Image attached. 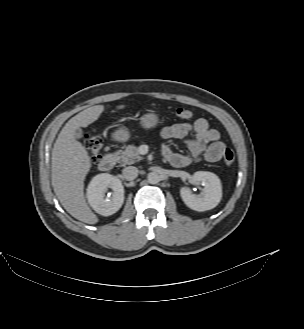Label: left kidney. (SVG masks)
Wrapping results in <instances>:
<instances>
[{
	"label": "left kidney",
	"mask_w": 304,
	"mask_h": 329,
	"mask_svg": "<svg viewBox=\"0 0 304 329\" xmlns=\"http://www.w3.org/2000/svg\"><path fill=\"white\" fill-rule=\"evenodd\" d=\"M196 182L204 184L201 196L192 194L187 187L180 189V195L183 202L192 210L206 211L216 207L222 198V186L220 179L214 173L206 171H197L193 174Z\"/></svg>",
	"instance_id": "1"
}]
</instances>
